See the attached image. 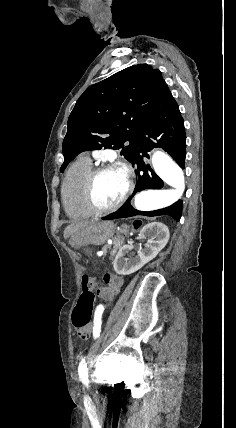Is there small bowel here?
I'll return each instance as SVG.
<instances>
[{
	"instance_id": "small-bowel-1",
	"label": "small bowel",
	"mask_w": 236,
	"mask_h": 428,
	"mask_svg": "<svg viewBox=\"0 0 236 428\" xmlns=\"http://www.w3.org/2000/svg\"><path fill=\"white\" fill-rule=\"evenodd\" d=\"M106 286L98 290V295L106 302H110L114 299L115 295L118 293L120 287L123 284V279L118 275H108L105 277ZM100 310L104 312L105 304L100 303L96 307V311ZM91 332V326H87L85 329L79 331V335L83 338H86Z\"/></svg>"
}]
</instances>
